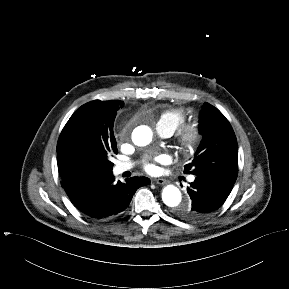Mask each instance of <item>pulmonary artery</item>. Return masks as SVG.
I'll list each match as a JSON object with an SVG mask.
<instances>
[{
	"label": "pulmonary artery",
	"instance_id": "1",
	"mask_svg": "<svg viewBox=\"0 0 289 289\" xmlns=\"http://www.w3.org/2000/svg\"><path fill=\"white\" fill-rule=\"evenodd\" d=\"M156 130L161 136H164V137H168L172 134V132L170 130H168L167 128H165L159 124L156 125ZM131 168H132V164L129 162H118L114 167V173L116 175H118V174H121L125 171L130 170ZM194 179H195L194 176L189 177L190 182H193Z\"/></svg>",
	"mask_w": 289,
	"mask_h": 289
}]
</instances>
